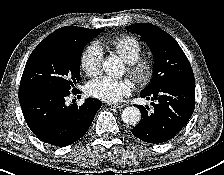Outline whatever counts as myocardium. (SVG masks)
Instances as JSON below:
<instances>
[{"instance_id":"myocardium-1","label":"myocardium","mask_w":224,"mask_h":175,"mask_svg":"<svg viewBox=\"0 0 224 175\" xmlns=\"http://www.w3.org/2000/svg\"><path fill=\"white\" fill-rule=\"evenodd\" d=\"M128 73L140 85L147 84L154 73V63L149 58H138L128 65Z\"/></svg>"}]
</instances>
